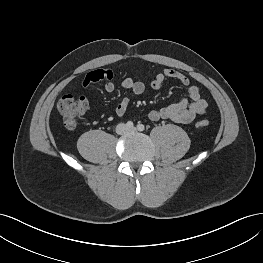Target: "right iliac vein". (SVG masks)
<instances>
[{"instance_id":"63e3f726","label":"right iliac vein","mask_w":263,"mask_h":263,"mask_svg":"<svg viewBox=\"0 0 263 263\" xmlns=\"http://www.w3.org/2000/svg\"><path fill=\"white\" fill-rule=\"evenodd\" d=\"M122 130L124 131V130H125V127H122Z\"/></svg>"}]
</instances>
